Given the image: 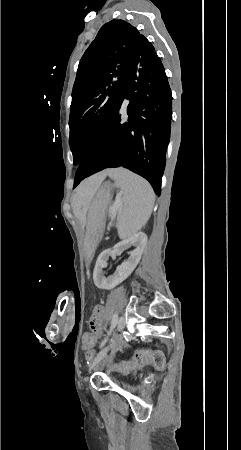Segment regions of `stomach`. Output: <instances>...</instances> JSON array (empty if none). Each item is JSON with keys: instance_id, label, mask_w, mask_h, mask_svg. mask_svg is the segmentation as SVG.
Returning <instances> with one entry per match:
<instances>
[{"instance_id": "1", "label": "stomach", "mask_w": 241, "mask_h": 450, "mask_svg": "<svg viewBox=\"0 0 241 450\" xmlns=\"http://www.w3.org/2000/svg\"><path fill=\"white\" fill-rule=\"evenodd\" d=\"M112 188L103 185L93 198L89 209L87 232L84 237L83 253L85 261L90 263L96 247L103 235L108 207L112 201Z\"/></svg>"}]
</instances>
